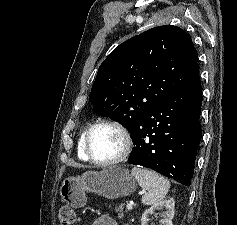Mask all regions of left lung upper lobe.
Returning <instances> with one entry per match:
<instances>
[{"label":"left lung upper lobe","instance_id":"1","mask_svg":"<svg viewBox=\"0 0 237 225\" xmlns=\"http://www.w3.org/2000/svg\"><path fill=\"white\" fill-rule=\"evenodd\" d=\"M198 55L190 36L159 26L120 44L100 65L89 101L129 132L165 98L197 85Z\"/></svg>","mask_w":237,"mask_h":225}]
</instances>
